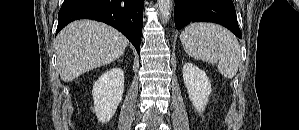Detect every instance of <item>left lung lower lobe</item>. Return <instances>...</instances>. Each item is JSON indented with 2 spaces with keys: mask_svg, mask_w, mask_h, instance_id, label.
<instances>
[{
  "mask_svg": "<svg viewBox=\"0 0 299 130\" xmlns=\"http://www.w3.org/2000/svg\"><path fill=\"white\" fill-rule=\"evenodd\" d=\"M175 26L181 29L190 22L220 24L242 38L232 0H174Z\"/></svg>",
  "mask_w": 299,
  "mask_h": 130,
  "instance_id": "0a47b994",
  "label": "left lung lower lobe"
}]
</instances>
